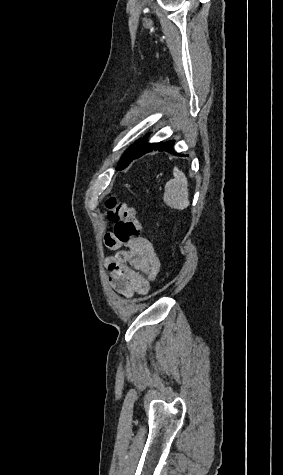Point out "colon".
<instances>
[{
  "label": "colon",
  "instance_id": "1",
  "mask_svg": "<svg viewBox=\"0 0 283 475\" xmlns=\"http://www.w3.org/2000/svg\"><path fill=\"white\" fill-rule=\"evenodd\" d=\"M106 210L108 221L118 226V231L115 233L116 239H119L121 243H126L132 238L139 237L140 224L136 210L132 206L110 196Z\"/></svg>",
  "mask_w": 283,
  "mask_h": 475
}]
</instances>
